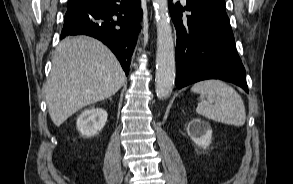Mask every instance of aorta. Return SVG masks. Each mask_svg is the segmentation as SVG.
I'll list each match as a JSON object with an SVG mask.
<instances>
[{"label":"aorta","instance_id":"1","mask_svg":"<svg viewBox=\"0 0 293 184\" xmlns=\"http://www.w3.org/2000/svg\"><path fill=\"white\" fill-rule=\"evenodd\" d=\"M157 22L156 95L169 97L175 82V49L168 17V0H153Z\"/></svg>","mask_w":293,"mask_h":184}]
</instances>
